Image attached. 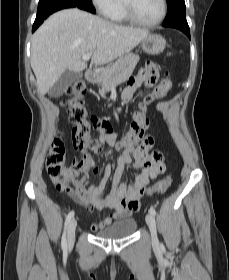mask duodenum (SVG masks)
<instances>
[{
	"label": "duodenum",
	"mask_w": 229,
	"mask_h": 280,
	"mask_svg": "<svg viewBox=\"0 0 229 280\" xmlns=\"http://www.w3.org/2000/svg\"><path fill=\"white\" fill-rule=\"evenodd\" d=\"M99 73L94 70H88L85 72V78L88 82H96L98 80Z\"/></svg>",
	"instance_id": "1"
}]
</instances>
